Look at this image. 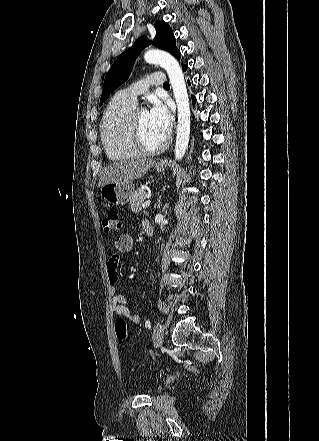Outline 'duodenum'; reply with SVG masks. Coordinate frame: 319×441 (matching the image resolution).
<instances>
[{
    "mask_svg": "<svg viewBox=\"0 0 319 441\" xmlns=\"http://www.w3.org/2000/svg\"><path fill=\"white\" fill-rule=\"evenodd\" d=\"M144 230L147 236H152L154 233V227L151 222L146 221L144 223Z\"/></svg>",
    "mask_w": 319,
    "mask_h": 441,
    "instance_id": "410a0bca",
    "label": "duodenum"
}]
</instances>
